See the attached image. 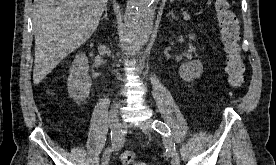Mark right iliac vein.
<instances>
[{"label":"right iliac vein","mask_w":276,"mask_h":165,"mask_svg":"<svg viewBox=\"0 0 276 165\" xmlns=\"http://www.w3.org/2000/svg\"><path fill=\"white\" fill-rule=\"evenodd\" d=\"M117 108L118 106L117 104H115L113 108L110 110L108 115V122H109V127L111 128L112 131H119L120 134L122 135V126L117 116ZM118 149H119L118 144H116L115 142H112V146L108 147L102 156L101 165H108L112 151H115Z\"/></svg>","instance_id":"right-iliac-vein-1"}]
</instances>
